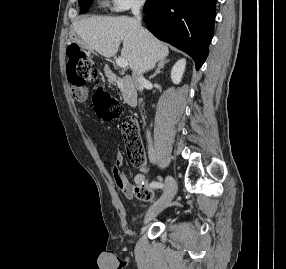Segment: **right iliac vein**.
Listing matches in <instances>:
<instances>
[{
	"label": "right iliac vein",
	"mask_w": 286,
	"mask_h": 269,
	"mask_svg": "<svg viewBox=\"0 0 286 269\" xmlns=\"http://www.w3.org/2000/svg\"><path fill=\"white\" fill-rule=\"evenodd\" d=\"M165 185L166 188L163 195L148 209L144 218V224L149 223L159 213H161L170 204L171 200L175 196L177 186L173 177L167 176L165 180Z\"/></svg>",
	"instance_id": "obj_1"
}]
</instances>
